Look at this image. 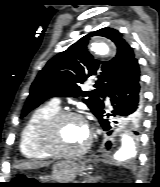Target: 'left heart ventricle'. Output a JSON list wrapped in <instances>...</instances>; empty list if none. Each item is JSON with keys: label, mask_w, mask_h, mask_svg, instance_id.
<instances>
[{"label": "left heart ventricle", "mask_w": 160, "mask_h": 187, "mask_svg": "<svg viewBox=\"0 0 160 187\" xmlns=\"http://www.w3.org/2000/svg\"><path fill=\"white\" fill-rule=\"evenodd\" d=\"M88 140V130L78 119L65 120L58 134V146L68 152L81 149Z\"/></svg>", "instance_id": "left-heart-ventricle-1"}]
</instances>
